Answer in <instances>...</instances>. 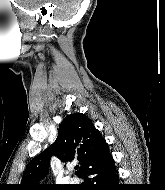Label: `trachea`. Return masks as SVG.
I'll return each mask as SVG.
<instances>
[{
    "mask_svg": "<svg viewBox=\"0 0 165 190\" xmlns=\"http://www.w3.org/2000/svg\"><path fill=\"white\" fill-rule=\"evenodd\" d=\"M75 169L77 170V169H78V166H76Z\"/></svg>",
    "mask_w": 165,
    "mask_h": 190,
    "instance_id": "obj_1",
    "label": "trachea"
}]
</instances>
